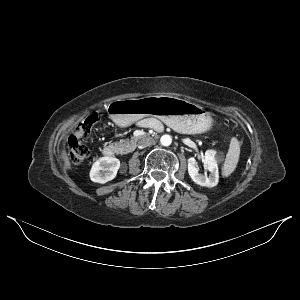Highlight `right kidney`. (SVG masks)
I'll list each match as a JSON object with an SVG mask.
<instances>
[{
	"mask_svg": "<svg viewBox=\"0 0 300 300\" xmlns=\"http://www.w3.org/2000/svg\"><path fill=\"white\" fill-rule=\"evenodd\" d=\"M120 167L119 159L115 157H101L90 170V179L93 182L104 184L115 178Z\"/></svg>",
	"mask_w": 300,
	"mask_h": 300,
	"instance_id": "1",
	"label": "right kidney"
}]
</instances>
